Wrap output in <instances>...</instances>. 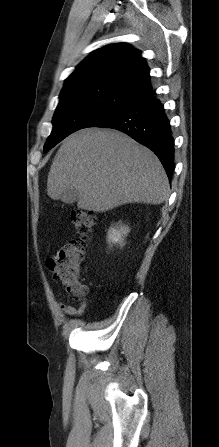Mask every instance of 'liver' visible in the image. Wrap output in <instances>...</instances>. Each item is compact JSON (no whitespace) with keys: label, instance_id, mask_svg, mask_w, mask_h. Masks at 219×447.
<instances>
[{"label":"liver","instance_id":"liver-1","mask_svg":"<svg viewBox=\"0 0 219 447\" xmlns=\"http://www.w3.org/2000/svg\"><path fill=\"white\" fill-rule=\"evenodd\" d=\"M69 188L77 192V206L93 212L169 198L168 178L156 155L109 129H82L63 141L48 174L47 194L59 200Z\"/></svg>","mask_w":219,"mask_h":447}]
</instances>
